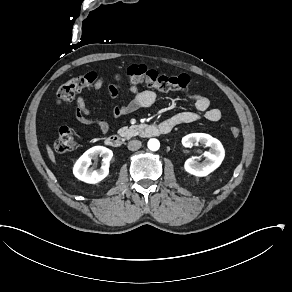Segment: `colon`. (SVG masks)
<instances>
[{"label": "colon", "mask_w": 292, "mask_h": 292, "mask_svg": "<svg viewBox=\"0 0 292 292\" xmlns=\"http://www.w3.org/2000/svg\"><path fill=\"white\" fill-rule=\"evenodd\" d=\"M124 82L141 83L161 91H186L190 87V77L188 75L182 74L175 77H167L146 66L136 65L129 67L124 76L115 74L109 77L99 75L96 72H89L84 76L73 78L60 87L57 102L59 105H67L74 98L75 94L82 90L99 85L117 89ZM230 131L233 136L239 134V129L235 126H232ZM75 147V131L70 127L61 128L55 140V150L63 153L72 151Z\"/></svg>", "instance_id": "colon-1"}]
</instances>
